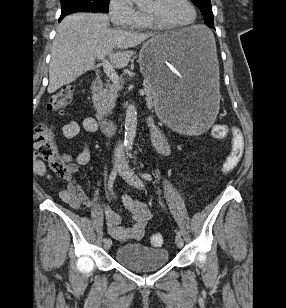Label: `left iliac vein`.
I'll return each mask as SVG.
<instances>
[{
    "mask_svg": "<svg viewBox=\"0 0 286 308\" xmlns=\"http://www.w3.org/2000/svg\"><path fill=\"white\" fill-rule=\"evenodd\" d=\"M119 173L120 175L133 187L143 190L145 185L142 180L137 178L128 168L127 162L123 157L119 164ZM175 243L178 248H182L184 245V241L181 236L175 237Z\"/></svg>",
    "mask_w": 286,
    "mask_h": 308,
    "instance_id": "4c4485c4",
    "label": "left iliac vein"
}]
</instances>
